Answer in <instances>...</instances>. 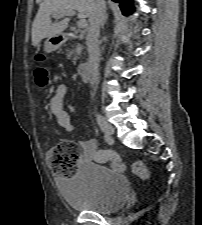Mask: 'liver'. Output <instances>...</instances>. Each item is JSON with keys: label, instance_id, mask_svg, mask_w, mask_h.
I'll use <instances>...</instances> for the list:
<instances>
[{"label": "liver", "instance_id": "1", "mask_svg": "<svg viewBox=\"0 0 202 225\" xmlns=\"http://www.w3.org/2000/svg\"><path fill=\"white\" fill-rule=\"evenodd\" d=\"M95 2L96 0H43L32 24L33 46H38L42 39L54 37L66 29L68 19L52 23V15L76 10L80 18L90 19Z\"/></svg>", "mask_w": 202, "mask_h": 225}]
</instances>
